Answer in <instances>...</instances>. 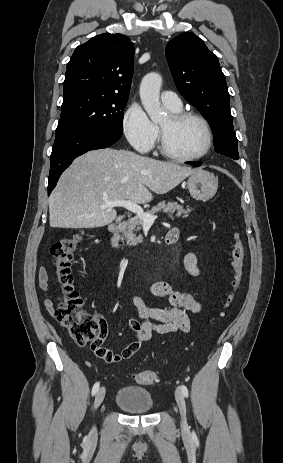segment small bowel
Returning a JSON list of instances; mask_svg holds the SVG:
<instances>
[{"mask_svg": "<svg viewBox=\"0 0 283 463\" xmlns=\"http://www.w3.org/2000/svg\"><path fill=\"white\" fill-rule=\"evenodd\" d=\"M170 232L177 238L180 231L173 228ZM184 267L193 277L200 276L197 256L189 252L184 257ZM39 283L43 291L47 289L48 273L45 269L39 271ZM151 295L165 298L170 306L166 308L152 307L140 296L131 294L129 297L137 309L140 320L130 319L128 326L135 332L134 340L118 354V361L131 358L140 347L149 341L153 334L166 335L176 331L188 333L191 330V320L187 312L198 313L201 310V302L193 295L175 290L166 282H155L151 286ZM47 309L53 312L54 308L49 299H46Z\"/></svg>", "mask_w": 283, "mask_h": 463, "instance_id": "small-bowel-1", "label": "small bowel"}]
</instances>
